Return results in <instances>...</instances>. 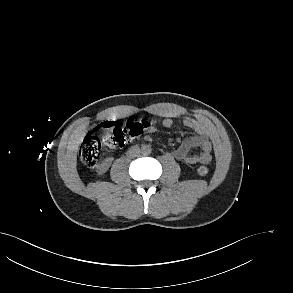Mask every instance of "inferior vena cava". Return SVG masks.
Returning <instances> with one entry per match:
<instances>
[{
  "mask_svg": "<svg viewBox=\"0 0 293 293\" xmlns=\"http://www.w3.org/2000/svg\"><path fill=\"white\" fill-rule=\"evenodd\" d=\"M126 154L130 158L136 157L140 154V149L138 147H131Z\"/></svg>",
  "mask_w": 293,
  "mask_h": 293,
  "instance_id": "602c4592",
  "label": "inferior vena cava"
}]
</instances>
